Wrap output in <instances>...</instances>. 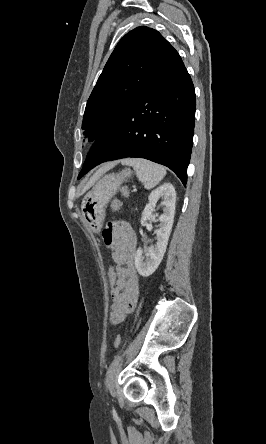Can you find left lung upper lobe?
<instances>
[{"label":"left lung upper lobe","instance_id":"1","mask_svg":"<svg viewBox=\"0 0 266 444\" xmlns=\"http://www.w3.org/2000/svg\"><path fill=\"white\" fill-rule=\"evenodd\" d=\"M182 62L162 35L140 26L127 33L109 57L87 101L82 122L95 141L112 122ZM83 175L80 173L79 178Z\"/></svg>","mask_w":266,"mask_h":444}]
</instances>
